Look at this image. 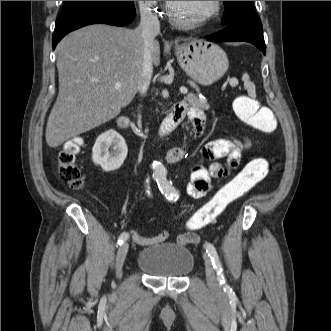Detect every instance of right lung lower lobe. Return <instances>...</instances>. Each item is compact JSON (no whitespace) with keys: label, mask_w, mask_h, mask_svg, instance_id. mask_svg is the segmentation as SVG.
I'll list each match as a JSON object with an SVG mask.
<instances>
[{"label":"right lung lower lobe","mask_w":331,"mask_h":331,"mask_svg":"<svg viewBox=\"0 0 331 331\" xmlns=\"http://www.w3.org/2000/svg\"><path fill=\"white\" fill-rule=\"evenodd\" d=\"M135 17L133 1L110 3L88 7L72 14L59 17L52 38L53 49L69 32L91 24L125 26Z\"/></svg>","instance_id":"1"}]
</instances>
